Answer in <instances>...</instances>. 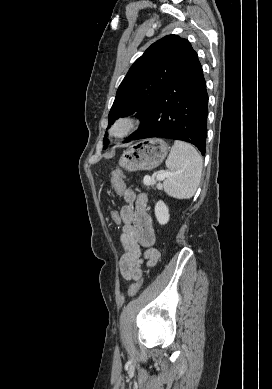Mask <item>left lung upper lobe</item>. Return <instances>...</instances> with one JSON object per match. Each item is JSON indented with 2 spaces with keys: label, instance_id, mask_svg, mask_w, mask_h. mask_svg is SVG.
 <instances>
[{
  "label": "left lung upper lobe",
  "instance_id": "5c2ea615",
  "mask_svg": "<svg viewBox=\"0 0 272 389\" xmlns=\"http://www.w3.org/2000/svg\"><path fill=\"white\" fill-rule=\"evenodd\" d=\"M196 56L190 42L177 35H168L153 43L120 84L108 115L109 127L116 119L135 112L142 124L161 91ZM107 136L106 133L104 148L108 144Z\"/></svg>",
  "mask_w": 272,
  "mask_h": 389
}]
</instances>
